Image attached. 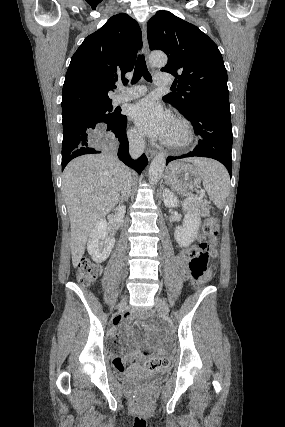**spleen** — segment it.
<instances>
[{"mask_svg":"<svg viewBox=\"0 0 285 427\" xmlns=\"http://www.w3.org/2000/svg\"><path fill=\"white\" fill-rule=\"evenodd\" d=\"M194 166L214 204L219 209L224 208L230 190V177L227 170L223 165L212 160H206Z\"/></svg>","mask_w":285,"mask_h":427,"instance_id":"3e777b00","label":"spleen"}]
</instances>
